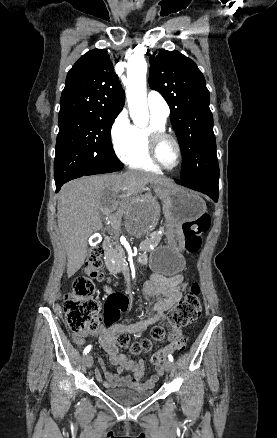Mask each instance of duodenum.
Returning <instances> with one entry per match:
<instances>
[{
    "instance_id": "duodenum-1",
    "label": "duodenum",
    "mask_w": 277,
    "mask_h": 438,
    "mask_svg": "<svg viewBox=\"0 0 277 438\" xmlns=\"http://www.w3.org/2000/svg\"><path fill=\"white\" fill-rule=\"evenodd\" d=\"M101 246H102L103 250H108L110 248V240L107 238L104 239ZM139 259L143 261V260H145V257L143 255H141L139 257Z\"/></svg>"
}]
</instances>
